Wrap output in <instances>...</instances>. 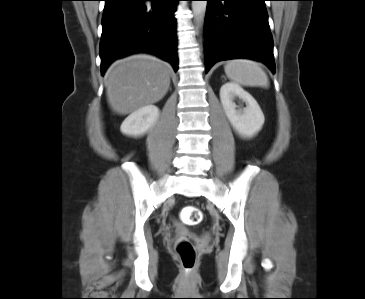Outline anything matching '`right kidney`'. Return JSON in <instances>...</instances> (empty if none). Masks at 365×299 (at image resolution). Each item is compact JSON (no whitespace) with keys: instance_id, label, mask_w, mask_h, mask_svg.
Here are the masks:
<instances>
[{"instance_id":"ca27d5eb","label":"right kidney","mask_w":365,"mask_h":299,"mask_svg":"<svg viewBox=\"0 0 365 299\" xmlns=\"http://www.w3.org/2000/svg\"><path fill=\"white\" fill-rule=\"evenodd\" d=\"M159 108L147 105L131 113L122 123L120 130L128 136H142L147 133L157 122Z\"/></svg>"}]
</instances>
